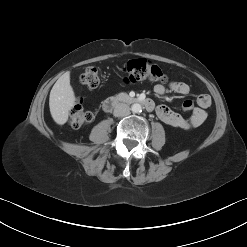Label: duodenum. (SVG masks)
<instances>
[{
  "label": "duodenum",
  "mask_w": 247,
  "mask_h": 247,
  "mask_svg": "<svg viewBox=\"0 0 247 247\" xmlns=\"http://www.w3.org/2000/svg\"><path fill=\"white\" fill-rule=\"evenodd\" d=\"M121 102L140 104L144 106V108L148 111H153L155 109V104L152 99L140 97H127L122 94H118L106 99L103 104V108L105 111H110Z\"/></svg>",
  "instance_id": "410a0bca"
}]
</instances>
